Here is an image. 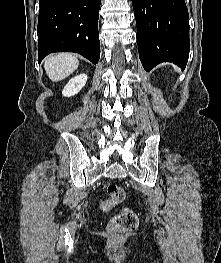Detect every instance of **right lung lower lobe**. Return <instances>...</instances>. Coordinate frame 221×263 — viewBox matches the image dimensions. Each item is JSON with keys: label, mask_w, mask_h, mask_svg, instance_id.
<instances>
[{"label": "right lung lower lobe", "mask_w": 221, "mask_h": 263, "mask_svg": "<svg viewBox=\"0 0 221 263\" xmlns=\"http://www.w3.org/2000/svg\"><path fill=\"white\" fill-rule=\"evenodd\" d=\"M101 0H39L38 61L53 52L79 53L93 64L100 58Z\"/></svg>", "instance_id": "1"}]
</instances>
